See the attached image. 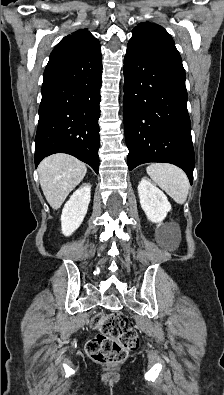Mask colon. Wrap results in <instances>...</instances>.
<instances>
[{"instance_id":"obj_1","label":"colon","mask_w":224,"mask_h":395,"mask_svg":"<svg viewBox=\"0 0 224 395\" xmlns=\"http://www.w3.org/2000/svg\"><path fill=\"white\" fill-rule=\"evenodd\" d=\"M93 326L98 333L87 343L86 352L96 363L121 362L138 346V336L126 315H98L93 320Z\"/></svg>"}]
</instances>
